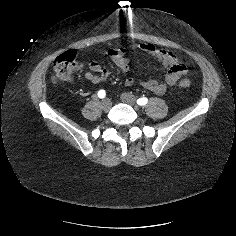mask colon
Masks as SVG:
<instances>
[{"label":"colon","instance_id":"colon-1","mask_svg":"<svg viewBox=\"0 0 236 236\" xmlns=\"http://www.w3.org/2000/svg\"><path fill=\"white\" fill-rule=\"evenodd\" d=\"M53 70V80L55 82L70 81L81 72L82 64L77 61L76 52L67 51L56 58ZM190 84L188 79H183L179 82V87L187 89L190 87Z\"/></svg>","mask_w":236,"mask_h":236}]
</instances>
